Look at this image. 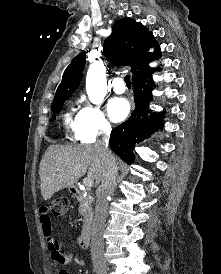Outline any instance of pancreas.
Returning a JSON list of instances; mask_svg holds the SVG:
<instances>
[{
	"instance_id": "pancreas-1",
	"label": "pancreas",
	"mask_w": 221,
	"mask_h": 274,
	"mask_svg": "<svg viewBox=\"0 0 221 274\" xmlns=\"http://www.w3.org/2000/svg\"><path fill=\"white\" fill-rule=\"evenodd\" d=\"M92 202H93V199L90 197V194L82 198V203L79 207V213L81 216H85L87 213L91 211Z\"/></svg>"
}]
</instances>
